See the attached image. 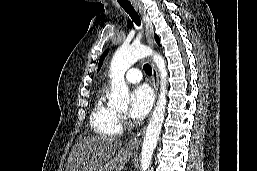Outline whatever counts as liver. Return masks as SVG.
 I'll list each match as a JSON object with an SVG mask.
<instances>
[{"label":"liver","mask_w":257,"mask_h":171,"mask_svg":"<svg viewBox=\"0 0 257 171\" xmlns=\"http://www.w3.org/2000/svg\"><path fill=\"white\" fill-rule=\"evenodd\" d=\"M121 144L122 141L114 137L81 138L69 154L65 171H99Z\"/></svg>","instance_id":"1"}]
</instances>
